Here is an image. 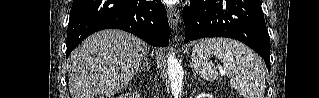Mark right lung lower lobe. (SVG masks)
Here are the masks:
<instances>
[{"label":"right lung lower lobe","instance_id":"right-lung-lower-lobe-1","mask_svg":"<svg viewBox=\"0 0 319 98\" xmlns=\"http://www.w3.org/2000/svg\"><path fill=\"white\" fill-rule=\"evenodd\" d=\"M107 28L125 30L156 47L169 43V24L161 0H74L66 57L87 36Z\"/></svg>","mask_w":319,"mask_h":98}]
</instances>
